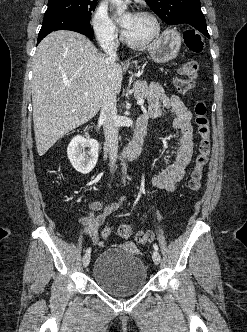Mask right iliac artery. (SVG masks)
Segmentation results:
<instances>
[{"mask_svg": "<svg viewBox=\"0 0 247 332\" xmlns=\"http://www.w3.org/2000/svg\"><path fill=\"white\" fill-rule=\"evenodd\" d=\"M86 252H87V253H90V252H91V248H87V249H86Z\"/></svg>", "mask_w": 247, "mask_h": 332, "instance_id": "obj_1", "label": "right iliac artery"}]
</instances>
